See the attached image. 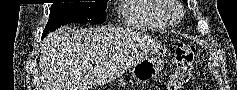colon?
I'll list each match as a JSON object with an SVG mask.
<instances>
[{"label":"colon","mask_w":237,"mask_h":90,"mask_svg":"<svg viewBox=\"0 0 237 90\" xmlns=\"http://www.w3.org/2000/svg\"><path fill=\"white\" fill-rule=\"evenodd\" d=\"M194 61L195 47L191 43H179L175 48V68L168 84L169 90H181L190 81Z\"/></svg>","instance_id":"colon-1"}]
</instances>
